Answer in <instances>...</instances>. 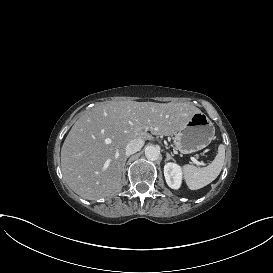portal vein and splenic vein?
Returning <instances> with one entry per match:
<instances>
[{
  "label": "portal vein and splenic vein",
  "mask_w": 273,
  "mask_h": 273,
  "mask_svg": "<svg viewBox=\"0 0 273 273\" xmlns=\"http://www.w3.org/2000/svg\"><path fill=\"white\" fill-rule=\"evenodd\" d=\"M191 160L193 161V163H195L196 165H200V163L197 161L196 157H191Z\"/></svg>",
  "instance_id": "obj_1"
}]
</instances>
